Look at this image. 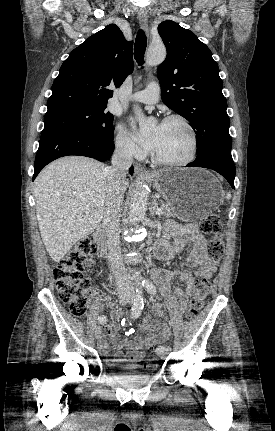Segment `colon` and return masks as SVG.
<instances>
[{
    "label": "colon",
    "instance_id": "obj_1",
    "mask_svg": "<svg viewBox=\"0 0 275 431\" xmlns=\"http://www.w3.org/2000/svg\"><path fill=\"white\" fill-rule=\"evenodd\" d=\"M200 229L210 235L207 253L218 261L224 253L222 238V224L216 214H208L200 221ZM95 253V247L89 239L80 240L53 269L52 276L55 288L61 301L69 305L71 313L75 316H84L87 311L89 298L93 294V287L83 276V270L88 266ZM209 277L201 276L196 282L195 293L186 311V317L193 320L197 317L205 304L209 294ZM152 348L147 347L146 352L151 353ZM149 365L157 364L154 357L148 359Z\"/></svg>",
    "mask_w": 275,
    "mask_h": 431
}]
</instances>
